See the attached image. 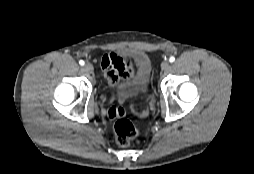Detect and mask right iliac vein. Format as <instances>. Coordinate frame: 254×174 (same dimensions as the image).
Instances as JSON below:
<instances>
[{
  "label": "right iliac vein",
  "mask_w": 254,
  "mask_h": 174,
  "mask_svg": "<svg viewBox=\"0 0 254 174\" xmlns=\"http://www.w3.org/2000/svg\"><path fill=\"white\" fill-rule=\"evenodd\" d=\"M83 69H84V71L87 72V73H93V71H94V68H93L92 64H90V63H86V64L83 66Z\"/></svg>",
  "instance_id": "1"
}]
</instances>
